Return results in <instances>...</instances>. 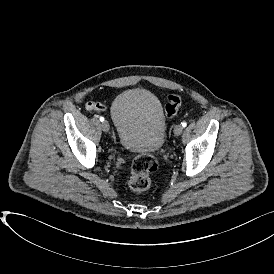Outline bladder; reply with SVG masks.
Here are the masks:
<instances>
[{"mask_svg":"<svg viewBox=\"0 0 274 274\" xmlns=\"http://www.w3.org/2000/svg\"><path fill=\"white\" fill-rule=\"evenodd\" d=\"M111 117L118 141L125 150L149 154L163 146L165 115L152 92L141 88L123 91L112 104Z\"/></svg>","mask_w":274,"mask_h":274,"instance_id":"31cf9c89","label":"bladder"}]
</instances>
